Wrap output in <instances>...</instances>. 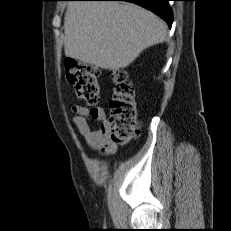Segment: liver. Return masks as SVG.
I'll list each match as a JSON object with an SVG mask.
<instances>
[{
	"instance_id": "obj_1",
	"label": "liver",
	"mask_w": 231,
	"mask_h": 231,
	"mask_svg": "<svg viewBox=\"0 0 231 231\" xmlns=\"http://www.w3.org/2000/svg\"><path fill=\"white\" fill-rule=\"evenodd\" d=\"M67 57L117 71L167 38L164 21L131 3L73 1L64 20Z\"/></svg>"
}]
</instances>
